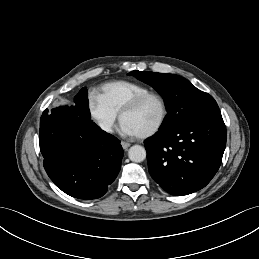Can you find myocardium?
Instances as JSON below:
<instances>
[{"instance_id": "myocardium-1", "label": "myocardium", "mask_w": 259, "mask_h": 259, "mask_svg": "<svg viewBox=\"0 0 259 259\" xmlns=\"http://www.w3.org/2000/svg\"><path fill=\"white\" fill-rule=\"evenodd\" d=\"M148 99H156L159 101L162 107V115L158 123L152 129H150L149 131L143 134H139L140 138H149L151 136H154L164 126L169 114L168 104L165 98L159 93L149 92V93L140 95L138 97H135L134 99L129 101L119 113L120 119L123 120V117L126 114L135 111L141 104H143Z\"/></svg>"}]
</instances>
